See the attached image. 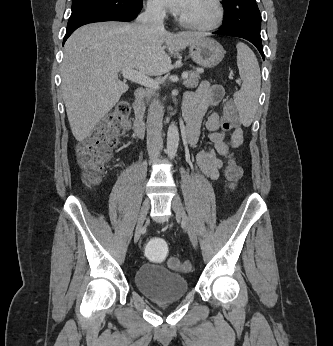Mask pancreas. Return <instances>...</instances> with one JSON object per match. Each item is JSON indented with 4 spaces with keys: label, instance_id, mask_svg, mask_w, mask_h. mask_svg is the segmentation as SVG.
I'll use <instances>...</instances> for the list:
<instances>
[{
    "label": "pancreas",
    "instance_id": "1",
    "mask_svg": "<svg viewBox=\"0 0 333 346\" xmlns=\"http://www.w3.org/2000/svg\"><path fill=\"white\" fill-rule=\"evenodd\" d=\"M188 78L184 81V85L187 88H195L198 86L200 80V73L198 71H190Z\"/></svg>",
    "mask_w": 333,
    "mask_h": 346
}]
</instances>
